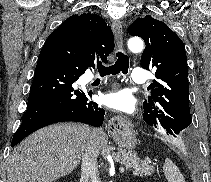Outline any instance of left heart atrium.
I'll return each instance as SVG.
<instances>
[{"label":"left heart atrium","mask_w":211,"mask_h":182,"mask_svg":"<svg viewBox=\"0 0 211 182\" xmlns=\"http://www.w3.org/2000/svg\"><path fill=\"white\" fill-rule=\"evenodd\" d=\"M104 103L109 108L120 112L131 113L134 110L133 99L126 91L106 95Z\"/></svg>","instance_id":"left-heart-atrium-1"}]
</instances>
